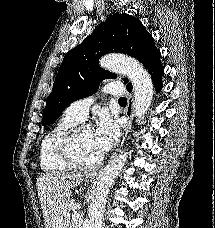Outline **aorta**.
<instances>
[{"instance_id": "obj_1", "label": "aorta", "mask_w": 215, "mask_h": 228, "mask_svg": "<svg viewBox=\"0 0 215 228\" xmlns=\"http://www.w3.org/2000/svg\"><path fill=\"white\" fill-rule=\"evenodd\" d=\"M99 64L101 68L112 70V72H122V74L128 76L133 86L136 122L137 124H141V120H144L145 114H147L151 106L154 94L150 74H148L144 66L139 64L137 60L126 58V56H117V54L103 56V58H100ZM127 160V152H122V154L116 156L113 162L107 164L101 174L97 176L89 206V228H103L102 218L107 196L113 182H115L117 176L122 172Z\"/></svg>"}]
</instances>
